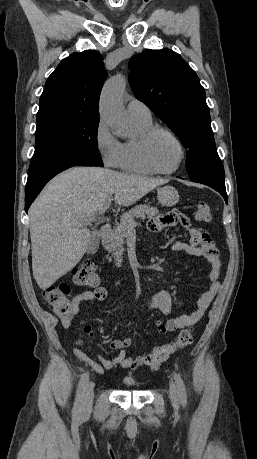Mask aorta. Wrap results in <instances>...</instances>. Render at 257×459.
Listing matches in <instances>:
<instances>
[{
  "label": "aorta",
  "mask_w": 257,
  "mask_h": 459,
  "mask_svg": "<svg viewBox=\"0 0 257 459\" xmlns=\"http://www.w3.org/2000/svg\"><path fill=\"white\" fill-rule=\"evenodd\" d=\"M125 85V78L121 75L108 80L103 87L99 105L103 122L119 137H129L132 133L130 119L122 106Z\"/></svg>",
  "instance_id": "1"
}]
</instances>
